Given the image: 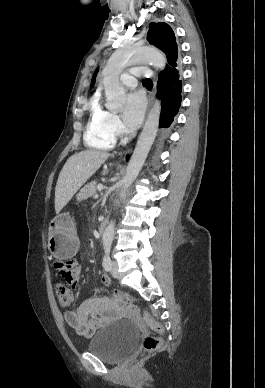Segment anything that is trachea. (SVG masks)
Returning a JSON list of instances; mask_svg holds the SVG:
<instances>
[{
    "instance_id": "3493384b",
    "label": "trachea",
    "mask_w": 265,
    "mask_h": 388,
    "mask_svg": "<svg viewBox=\"0 0 265 388\" xmlns=\"http://www.w3.org/2000/svg\"><path fill=\"white\" fill-rule=\"evenodd\" d=\"M146 85H148V84H152V82H151V80H149V78H147L146 80H145V82H144Z\"/></svg>"
}]
</instances>
